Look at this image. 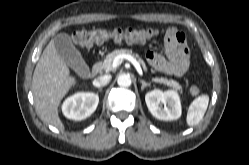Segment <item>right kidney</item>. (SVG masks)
<instances>
[{
	"mask_svg": "<svg viewBox=\"0 0 249 165\" xmlns=\"http://www.w3.org/2000/svg\"><path fill=\"white\" fill-rule=\"evenodd\" d=\"M98 103V94L79 92L63 102L62 112L66 118L80 121L89 117L96 110Z\"/></svg>",
	"mask_w": 249,
	"mask_h": 165,
	"instance_id": "1",
	"label": "right kidney"
}]
</instances>
